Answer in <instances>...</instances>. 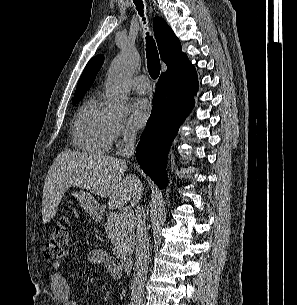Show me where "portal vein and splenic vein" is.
Returning <instances> with one entry per match:
<instances>
[{
  "label": "portal vein and splenic vein",
  "mask_w": 297,
  "mask_h": 305,
  "mask_svg": "<svg viewBox=\"0 0 297 305\" xmlns=\"http://www.w3.org/2000/svg\"><path fill=\"white\" fill-rule=\"evenodd\" d=\"M123 216H129V213H124Z\"/></svg>",
  "instance_id": "18ae733b"
}]
</instances>
